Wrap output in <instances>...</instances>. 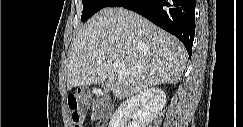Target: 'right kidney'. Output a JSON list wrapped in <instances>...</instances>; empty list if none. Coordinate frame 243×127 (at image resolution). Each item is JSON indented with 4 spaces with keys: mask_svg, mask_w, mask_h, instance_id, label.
<instances>
[{
    "mask_svg": "<svg viewBox=\"0 0 243 127\" xmlns=\"http://www.w3.org/2000/svg\"><path fill=\"white\" fill-rule=\"evenodd\" d=\"M166 95L160 88H149L123 102L109 122V127H146L162 111Z\"/></svg>",
    "mask_w": 243,
    "mask_h": 127,
    "instance_id": "ca27d5eb",
    "label": "right kidney"
}]
</instances>
